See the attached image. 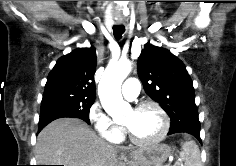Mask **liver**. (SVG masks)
<instances>
[{"label":"liver","mask_w":236,"mask_h":166,"mask_svg":"<svg viewBox=\"0 0 236 166\" xmlns=\"http://www.w3.org/2000/svg\"><path fill=\"white\" fill-rule=\"evenodd\" d=\"M128 148L107 143L82 120L61 118L48 124L38 135L35 158L38 165L118 166L117 154ZM140 150L130 153L131 166Z\"/></svg>","instance_id":"obj_1"}]
</instances>
